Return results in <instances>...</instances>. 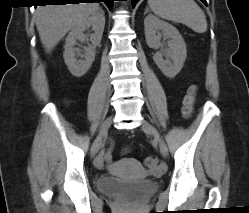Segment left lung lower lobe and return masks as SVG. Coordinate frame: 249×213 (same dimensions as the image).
Listing matches in <instances>:
<instances>
[{
  "instance_id": "obj_1",
  "label": "left lung lower lobe",
  "mask_w": 249,
  "mask_h": 213,
  "mask_svg": "<svg viewBox=\"0 0 249 213\" xmlns=\"http://www.w3.org/2000/svg\"><path fill=\"white\" fill-rule=\"evenodd\" d=\"M206 5V0H201ZM138 0H132V6L134 7Z\"/></svg>"
}]
</instances>
